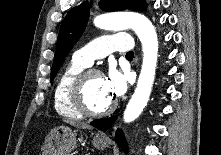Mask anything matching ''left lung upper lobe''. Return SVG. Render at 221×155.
<instances>
[{"mask_svg":"<svg viewBox=\"0 0 221 155\" xmlns=\"http://www.w3.org/2000/svg\"><path fill=\"white\" fill-rule=\"evenodd\" d=\"M99 6L104 11L126 9L145 11L147 4L145 0H101ZM89 11V3L85 1L67 13L59 31L50 82L54 80L65 57L82 35L88 21Z\"/></svg>","mask_w":221,"mask_h":155,"instance_id":"obj_1","label":"left lung upper lobe"}]
</instances>
